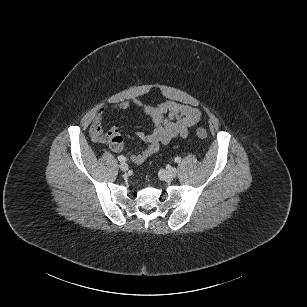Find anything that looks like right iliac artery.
Wrapping results in <instances>:
<instances>
[{"mask_svg":"<svg viewBox=\"0 0 307 307\" xmlns=\"http://www.w3.org/2000/svg\"><path fill=\"white\" fill-rule=\"evenodd\" d=\"M118 160H119L120 162H125V161H126V158H125L124 156L120 155V156H118Z\"/></svg>","mask_w":307,"mask_h":307,"instance_id":"82829eb1","label":"right iliac artery"}]
</instances>
